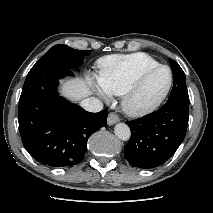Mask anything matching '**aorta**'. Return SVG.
<instances>
[{"mask_svg": "<svg viewBox=\"0 0 213 213\" xmlns=\"http://www.w3.org/2000/svg\"><path fill=\"white\" fill-rule=\"evenodd\" d=\"M114 133L119 139L123 141L129 140L131 136V130L129 126L125 123L116 124L114 128Z\"/></svg>", "mask_w": 213, "mask_h": 213, "instance_id": "obj_1", "label": "aorta"}]
</instances>
